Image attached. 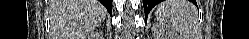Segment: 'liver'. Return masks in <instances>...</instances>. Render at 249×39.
I'll return each instance as SVG.
<instances>
[{"label": "liver", "mask_w": 249, "mask_h": 39, "mask_svg": "<svg viewBox=\"0 0 249 39\" xmlns=\"http://www.w3.org/2000/svg\"><path fill=\"white\" fill-rule=\"evenodd\" d=\"M53 23L72 39H86L106 18V9L97 0H52Z\"/></svg>", "instance_id": "6515ba94"}]
</instances>
